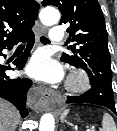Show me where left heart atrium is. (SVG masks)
I'll return each mask as SVG.
<instances>
[{
    "instance_id": "1",
    "label": "left heart atrium",
    "mask_w": 117,
    "mask_h": 131,
    "mask_svg": "<svg viewBox=\"0 0 117 131\" xmlns=\"http://www.w3.org/2000/svg\"><path fill=\"white\" fill-rule=\"evenodd\" d=\"M27 73L38 80L49 83L57 82L62 78L61 66L44 52L34 55L27 66Z\"/></svg>"
}]
</instances>
